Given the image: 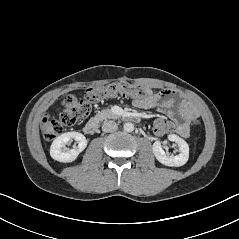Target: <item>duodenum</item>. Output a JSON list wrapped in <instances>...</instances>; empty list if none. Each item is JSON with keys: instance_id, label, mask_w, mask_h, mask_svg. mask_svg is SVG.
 Instances as JSON below:
<instances>
[{"instance_id": "1", "label": "duodenum", "mask_w": 239, "mask_h": 239, "mask_svg": "<svg viewBox=\"0 0 239 239\" xmlns=\"http://www.w3.org/2000/svg\"><path fill=\"white\" fill-rule=\"evenodd\" d=\"M125 118L134 122H138L140 120V117L136 114H127L125 115ZM98 127L99 120L97 118H92L84 125L83 131L88 135H92L97 131Z\"/></svg>"}]
</instances>
